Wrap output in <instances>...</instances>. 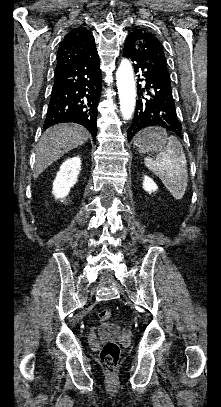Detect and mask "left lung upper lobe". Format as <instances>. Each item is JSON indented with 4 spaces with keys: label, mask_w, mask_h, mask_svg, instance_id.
<instances>
[{
    "label": "left lung upper lobe",
    "mask_w": 221,
    "mask_h": 407,
    "mask_svg": "<svg viewBox=\"0 0 221 407\" xmlns=\"http://www.w3.org/2000/svg\"><path fill=\"white\" fill-rule=\"evenodd\" d=\"M130 35L135 39L140 55L158 71L169 75L164 50L157 37L150 32L139 29Z\"/></svg>",
    "instance_id": "left-lung-upper-lobe-1"
}]
</instances>
